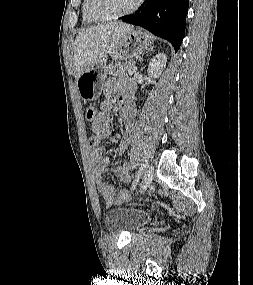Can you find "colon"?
Returning a JSON list of instances; mask_svg holds the SVG:
<instances>
[{
	"label": "colon",
	"instance_id": "obj_1",
	"mask_svg": "<svg viewBox=\"0 0 253 285\" xmlns=\"http://www.w3.org/2000/svg\"><path fill=\"white\" fill-rule=\"evenodd\" d=\"M95 114H96V109L94 107H88L86 109V119L88 121H92L95 118ZM122 195L126 198V199H130L131 198V194H129L126 190L122 191Z\"/></svg>",
	"mask_w": 253,
	"mask_h": 285
}]
</instances>
